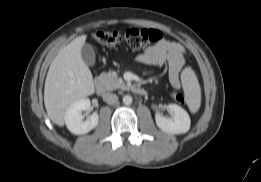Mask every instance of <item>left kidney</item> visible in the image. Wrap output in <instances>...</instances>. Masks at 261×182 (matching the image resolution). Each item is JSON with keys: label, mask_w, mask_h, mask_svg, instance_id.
Returning <instances> with one entry per match:
<instances>
[{"label": "left kidney", "mask_w": 261, "mask_h": 182, "mask_svg": "<svg viewBox=\"0 0 261 182\" xmlns=\"http://www.w3.org/2000/svg\"><path fill=\"white\" fill-rule=\"evenodd\" d=\"M167 108L173 112L171 118L156 113V125L164 132L170 134H183L190 129V117L188 113L177 104H169Z\"/></svg>", "instance_id": "left-kidney-1"}]
</instances>
